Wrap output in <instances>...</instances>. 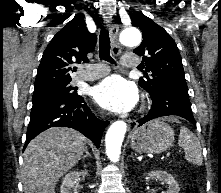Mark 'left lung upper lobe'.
Segmentation results:
<instances>
[{
    "label": "left lung upper lobe",
    "instance_id": "5c2ea615",
    "mask_svg": "<svg viewBox=\"0 0 221 193\" xmlns=\"http://www.w3.org/2000/svg\"><path fill=\"white\" fill-rule=\"evenodd\" d=\"M130 18L143 34V41L134 53L143 56L145 70L152 73L141 77L139 85L152 94L163 84H186L178 47L165 29L139 12H133Z\"/></svg>",
    "mask_w": 221,
    "mask_h": 193
}]
</instances>
